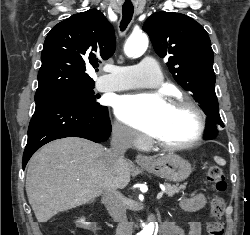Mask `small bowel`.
Returning a JSON list of instances; mask_svg holds the SVG:
<instances>
[{"instance_id": "obj_1", "label": "small bowel", "mask_w": 250, "mask_h": 235, "mask_svg": "<svg viewBox=\"0 0 250 235\" xmlns=\"http://www.w3.org/2000/svg\"><path fill=\"white\" fill-rule=\"evenodd\" d=\"M206 203V195L204 193H198L192 197L184 198L182 207L186 211L196 212L203 209ZM162 235H201V225L199 222H191L189 231L185 233L183 229L171 221H165L162 226Z\"/></svg>"}]
</instances>
